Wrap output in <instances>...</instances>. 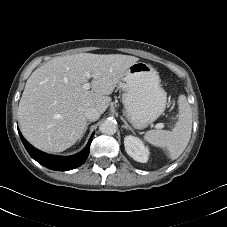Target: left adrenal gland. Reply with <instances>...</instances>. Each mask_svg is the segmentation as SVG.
<instances>
[{
    "label": "left adrenal gland",
    "instance_id": "left-adrenal-gland-1",
    "mask_svg": "<svg viewBox=\"0 0 227 227\" xmlns=\"http://www.w3.org/2000/svg\"><path fill=\"white\" fill-rule=\"evenodd\" d=\"M121 119L124 122V125L122 127L125 128V129H130L131 131H133L132 128L128 125V123L124 120V118H121Z\"/></svg>",
    "mask_w": 227,
    "mask_h": 227
}]
</instances>
